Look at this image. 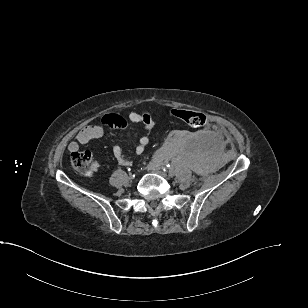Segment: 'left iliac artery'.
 Returning a JSON list of instances; mask_svg holds the SVG:
<instances>
[{
    "mask_svg": "<svg viewBox=\"0 0 308 308\" xmlns=\"http://www.w3.org/2000/svg\"><path fill=\"white\" fill-rule=\"evenodd\" d=\"M171 168H172V165L167 164V165H165V166L163 167V170H164V171H167V169H171Z\"/></svg>",
    "mask_w": 308,
    "mask_h": 308,
    "instance_id": "44dca946",
    "label": "left iliac artery"
}]
</instances>
